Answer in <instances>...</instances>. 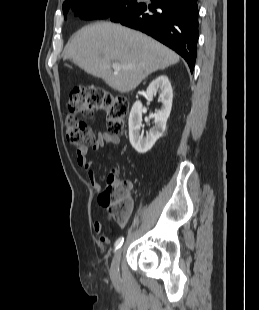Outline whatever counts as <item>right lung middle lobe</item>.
<instances>
[{
    "label": "right lung middle lobe",
    "instance_id": "obj_1",
    "mask_svg": "<svg viewBox=\"0 0 259 310\" xmlns=\"http://www.w3.org/2000/svg\"><path fill=\"white\" fill-rule=\"evenodd\" d=\"M137 0H99L92 3L80 1L69 2L62 6L64 16L70 7L75 10V15L85 20L110 18L111 21L119 22L128 13L139 6Z\"/></svg>",
    "mask_w": 259,
    "mask_h": 310
}]
</instances>
